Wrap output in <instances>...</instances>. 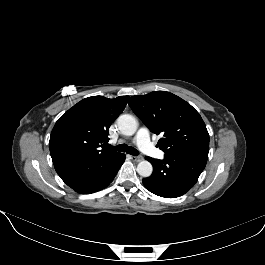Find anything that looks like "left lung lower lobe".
Segmentation results:
<instances>
[{
  "mask_svg": "<svg viewBox=\"0 0 265 265\" xmlns=\"http://www.w3.org/2000/svg\"><path fill=\"white\" fill-rule=\"evenodd\" d=\"M209 147H197L172 154L163 160L146 157L153 165V173L143 184L153 194L176 198L189 191L205 168Z\"/></svg>",
  "mask_w": 265,
  "mask_h": 265,
  "instance_id": "left-lung-lower-lobe-1",
  "label": "left lung lower lobe"
}]
</instances>
